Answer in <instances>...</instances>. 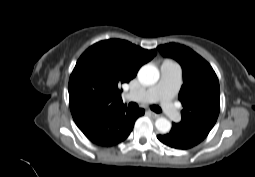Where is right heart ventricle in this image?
Returning <instances> with one entry per match:
<instances>
[{
    "label": "right heart ventricle",
    "instance_id": "obj_1",
    "mask_svg": "<svg viewBox=\"0 0 255 177\" xmlns=\"http://www.w3.org/2000/svg\"><path fill=\"white\" fill-rule=\"evenodd\" d=\"M164 63H168V64L174 66V64L172 62H170V61H165Z\"/></svg>",
    "mask_w": 255,
    "mask_h": 177
}]
</instances>
